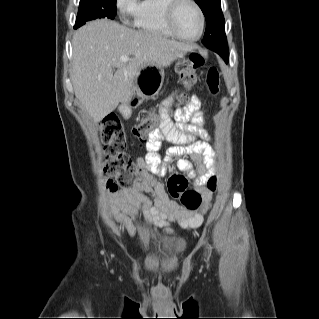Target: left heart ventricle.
<instances>
[{
  "instance_id": "left-heart-ventricle-1",
  "label": "left heart ventricle",
  "mask_w": 319,
  "mask_h": 319,
  "mask_svg": "<svg viewBox=\"0 0 319 319\" xmlns=\"http://www.w3.org/2000/svg\"><path fill=\"white\" fill-rule=\"evenodd\" d=\"M175 26L178 32L188 38L197 36L200 29V21L195 8L188 3L180 6L175 16Z\"/></svg>"
}]
</instances>
